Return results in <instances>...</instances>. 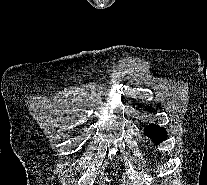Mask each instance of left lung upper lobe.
Masks as SVG:
<instances>
[{
    "label": "left lung upper lobe",
    "instance_id": "left-lung-upper-lobe-1",
    "mask_svg": "<svg viewBox=\"0 0 207 185\" xmlns=\"http://www.w3.org/2000/svg\"><path fill=\"white\" fill-rule=\"evenodd\" d=\"M144 133L152 138V141L156 144L161 143L167 137V132L164 128L157 125L147 126L144 130Z\"/></svg>",
    "mask_w": 207,
    "mask_h": 185
}]
</instances>
